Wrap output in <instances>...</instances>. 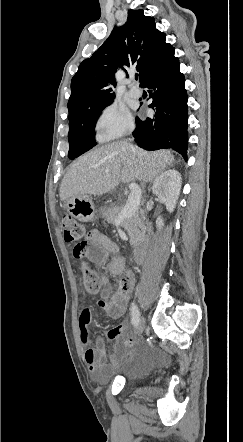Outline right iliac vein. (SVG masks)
I'll use <instances>...</instances> for the list:
<instances>
[{
    "label": "right iliac vein",
    "mask_w": 243,
    "mask_h": 442,
    "mask_svg": "<svg viewBox=\"0 0 243 442\" xmlns=\"http://www.w3.org/2000/svg\"><path fill=\"white\" fill-rule=\"evenodd\" d=\"M145 320L143 317L139 318L137 323V335H141L144 330Z\"/></svg>",
    "instance_id": "1"
}]
</instances>
